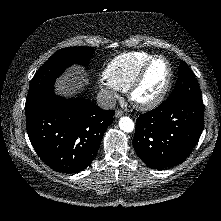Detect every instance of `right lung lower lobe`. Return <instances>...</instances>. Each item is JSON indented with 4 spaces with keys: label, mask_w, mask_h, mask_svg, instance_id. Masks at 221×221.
<instances>
[{
    "label": "right lung lower lobe",
    "mask_w": 221,
    "mask_h": 221,
    "mask_svg": "<svg viewBox=\"0 0 221 221\" xmlns=\"http://www.w3.org/2000/svg\"><path fill=\"white\" fill-rule=\"evenodd\" d=\"M25 114L29 139L41 160L55 171L76 173L97 155L114 111L86 99L57 96L52 82L26 100Z\"/></svg>",
    "instance_id": "obj_1"
}]
</instances>
